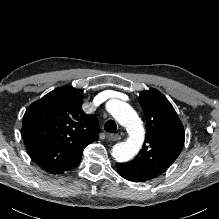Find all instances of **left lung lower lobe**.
Returning <instances> with one entry per match:
<instances>
[{
  "mask_svg": "<svg viewBox=\"0 0 219 219\" xmlns=\"http://www.w3.org/2000/svg\"><path fill=\"white\" fill-rule=\"evenodd\" d=\"M117 172L121 177H123L124 179H127L129 181H133V182L147 181L144 178H142L141 176L137 175L136 173L130 171L129 169H127L119 164H117Z\"/></svg>",
  "mask_w": 219,
  "mask_h": 219,
  "instance_id": "0a47b994",
  "label": "left lung lower lobe"
}]
</instances>
